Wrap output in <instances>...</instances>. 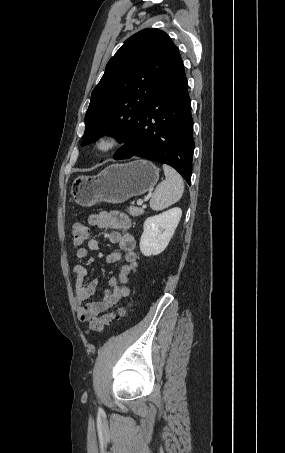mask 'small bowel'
I'll return each instance as SVG.
<instances>
[{"label": "small bowel", "instance_id": "small-bowel-1", "mask_svg": "<svg viewBox=\"0 0 285 453\" xmlns=\"http://www.w3.org/2000/svg\"><path fill=\"white\" fill-rule=\"evenodd\" d=\"M88 224L100 229L109 230V241L116 244L120 252L113 251L108 253L106 260L108 263L124 261L118 277H110L108 288L105 290L100 300L88 301L95 295L97 280L89 279L88 270L84 265L74 266L75 283V311L80 321H87L90 318L106 312L109 308L130 295L128 283L130 275L138 271L136 241L129 232L131 220L123 212L110 211L92 214L88 217ZM99 249V241L96 238H89L87 245L77 251L79 258H85L90 251Z\"/></svg>", "mask_w": 285, "mask_h": 453}]
</instances>
